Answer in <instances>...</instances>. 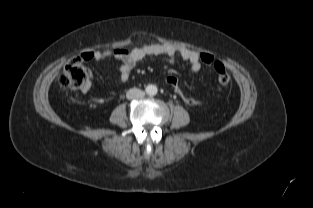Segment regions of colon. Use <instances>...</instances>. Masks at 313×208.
Returning a JSON list of instances; mask_svg holds the SVG:
<instances>
[{"mask_svg": "<svg viewBox=\"0 0 313 208\" xmlns=\"http://www.w3.org/2000/svg\"><path fill=\"white\" fill-rule=\"evenodd\" d=\"M199 57L202 63L213 67L221 86L226 87L230 84V75L222 62L216 60L213 55L207 52L199 53ZM91 76V71L84 65V58L80 56L66 65L60 77V85L64 89H83L89 85ZM167 82L173 87L174 92L185 105L190 107L201 105L199 101L186 92L177 78L167 77Z\"/></svg>", "mask_w": 313, "mask_h": 208, "instance_id": "5ec220e1", "label": "colon"}]
</instances>
